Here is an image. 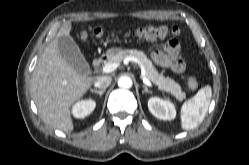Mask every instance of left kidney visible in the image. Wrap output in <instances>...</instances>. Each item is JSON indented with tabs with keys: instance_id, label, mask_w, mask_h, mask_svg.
<instances>
[{
	"instance_id": "5707ae66",
	"label": "left kidney",
	"mask_w": 249,
	"mask_h": 165,
	"mask_svg": "<svg viewBox=\"0 0 249 165\" xmlns=\"http://www.w3.org/2000/svg\"><path fill=\"white\" fill-rule=\"evenodd\" d=\"M149 111L158 119L173 120L176 117V109L169 100L151 97L148 100Z\"/></svg>"
}]
</instances>
